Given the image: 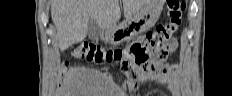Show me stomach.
<instances>
[{
  "instance_id": "stomach-1",
  "label": "stomach",
  "mask_w": 232,
  "mask_h": 96,
  "mask_svg": "<svg viewBox=\"0 0 232 96\" xmlns=\"http://www.w3.org/2000/svg\"><path fill=\"white\" fill-rule=\"evenodd\" d=\"M164 0H149L131 19L104 31L102 38L111 44H121L154 26L163 9Z\"/></svg>"
}]
</instances>
